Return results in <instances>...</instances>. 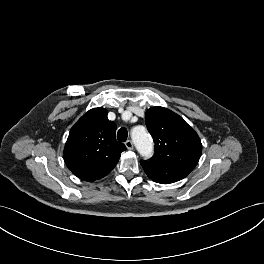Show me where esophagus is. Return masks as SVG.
<instances>
[{
  "label": "esophagus",
  "instance_id": "34e87169",
  "mask_svg": "<svg viewBox=\"0 0 264 264\" xmlns=\"http://www.w3.org/2000/svg\"><path fill=\"white\" fill-rule=\"evenodd\" d=\"M125 145H126L127 149H129V150L133 149V147H134L133 142L131 140H127L125 142Z\"/></svg>",
  "mask_w": 264,
  "mask_h": 264
}]
</instances>
